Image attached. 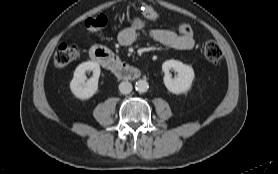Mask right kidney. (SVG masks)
<instances>
[{
    "label": "right kidney",
    "mask_w": 278,
    "mask_h": 174,
    "mask_svg": "<svg viewBox=\"0 0 278 174\" xmlns=\"http://www.w3.org/2000/svg\"><path fill=\"white\" fill-rule=\"evenodd\" d=\"M86 71H93V77L86 80ZM100 76V66L93 61L79 64L74 71L73 79L70 82L71 92L79 99L91 98L98 89V79Z\"/></svg>",
    "instance_id": "ca27d5eb"
}]
</instances>
